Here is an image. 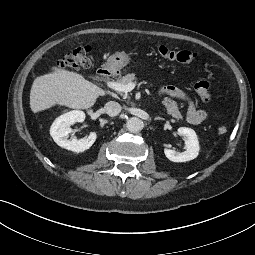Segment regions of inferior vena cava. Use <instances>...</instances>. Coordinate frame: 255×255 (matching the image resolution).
I'll use <instances>...</instances> for the list:
<instances>
[{
  "label": "inferior vena cava",
  "mask_w": 255,
  "mask_h": 255,
  "mask_svg": "<svg viewBox=\"0 0 255 255\" xmlns=\"http://www.w3.org/2000/svg\"><path fill=\"white\" fill-rule=\"evenodd\" d=\"M121 109V105L115 101H109L104 106L105 113L111 117L117 116L121 112Z\"/></svg>",
  "instance_id": "602c4592"
}]
</instances>
